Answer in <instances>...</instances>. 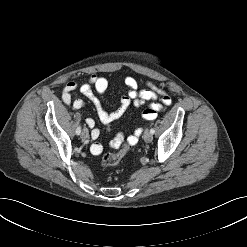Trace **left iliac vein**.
I'll use <instances>...</instances> for the list:
<instances>
[{
    "mask_svg": "<svg viewBox=\"0 0 247 247\" xmlns=\"http://www.w3.org/2000/svg\"><path fill=\"white\" fill-rule=\"evenodd\" d=\"M143 139L145 142L150 143L153 139V135L149 130H145L143 134Z\"/></svg>",
    "mask_w": 247,
    "mask_h": 247,
    "instance_id": "obj_1",
    "label": "left iliac vein"
}]
</instances>
